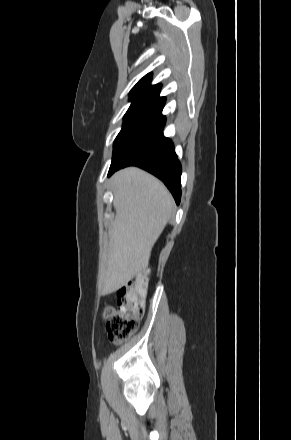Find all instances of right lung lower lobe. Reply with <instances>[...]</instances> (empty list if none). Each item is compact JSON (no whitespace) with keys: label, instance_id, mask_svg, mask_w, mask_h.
<instances>
[{"label":"right lung lower lobe","instance_id":"1","mask_svg":"<svg viewBox=\"0 0 291 440\" xmlns=\"http://www.w3.org/2000/svg\"><path fill=\"white\" fill-rule=\"evenodd\" d=\"M165 97L156 99L138 126L112 159L108 172L138 166L161 179L177 204L181 198V164L171 140L163 136L165 116L161 114Z\"/></svg>","mask_w":291,"mask_h":440}]
</instances>
